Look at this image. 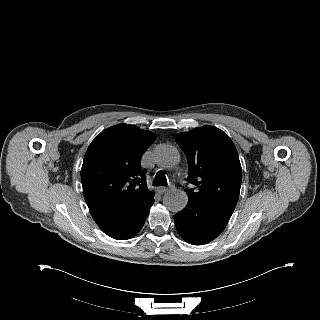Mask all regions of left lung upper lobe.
<instances>
[{"label": "left lung upper lobe", "instance_id": "left-lung-upper-lobe-1", "mask_svg": "<svg viewBox=\"0 0 320 320\" xmlns=\"http://www.w3.org/2000/svg\"><path fill=\"white\" fill-rule=\"evenodd\" d=\"M188 161V198L212 205L230 216L237 204L242 169L237 150L223 131L203 126L175 136Z\"/></svg>", "mask_w": 320, "mask_h": 320}]
</instances>
